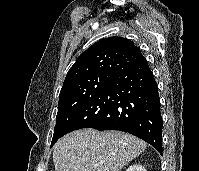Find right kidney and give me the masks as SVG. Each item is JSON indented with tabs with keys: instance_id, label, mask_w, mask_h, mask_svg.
Here are the masks:
<instances>
[{
	"instance_id": "obj_1",
	"label": "right kidney",
	"mask_w": 199,
	"mask_h": 171,
	"mask_svg": "<svg viewBox=\"0 0 199 171\" xmlns=\"http://www.w3.org/2000/svg\"><path fill=\"white\" fill-rule=\"evenodd\" d=\"M126 171H146V169L141 164L136 163L131 165Z\"/></svg>"
}]
</instances>
